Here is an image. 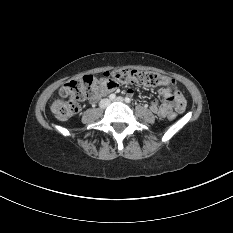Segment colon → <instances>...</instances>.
<instances>
[{"label":"colon","instance_id":"colon-1","mask_svg":"<svg viewBox=\"0 0 233 233\" xmlns=\"http://www.w3.org/2000/svg\"><path fill=\"white\" fill-rule=\"evenodd\" d=\"M105 77L118 83H136L147 86H172L168 77L153 71H138L119 68L105 73ZM101 88V80L92 75H85L65 83L60 89V98L51 104V111L59 120H68L80 109V101L93 97ZM175 118V114L169 117Z\"/></svg>","mask_w":233,"mask_h":233}]
</instances>
